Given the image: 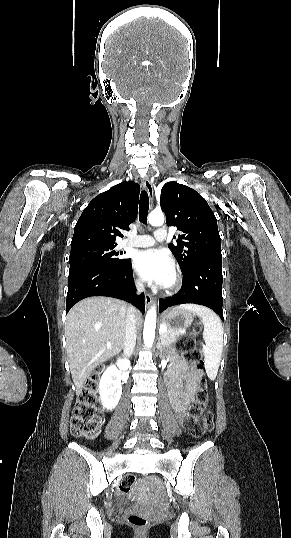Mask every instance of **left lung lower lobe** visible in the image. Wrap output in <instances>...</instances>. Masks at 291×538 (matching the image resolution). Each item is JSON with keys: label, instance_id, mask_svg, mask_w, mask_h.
I'll list each match as a JSON object with an SVG mask.
<instances>
[{"label": "left lung lower lobe", "instance_id": "obj_1", "mask_svg": "<svg viewBox=\"0 0 291 538\" xmlns=\"http://www.w3.org/2000/svg\"><path fill=\"white\" fill-rule=\"evenodd\" d=\"M185 282L172 297L159 300V311L178 305L194 303L215 311L223 320L222 259H211L193 264L183 273Z\"/></svg>", "mask_w": 291, "mask_h": 538}]
</instances>
